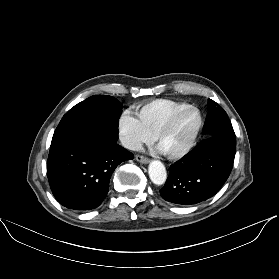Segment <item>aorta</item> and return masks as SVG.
<instances>
[{
  "label": "aorta",
  "instance_id": "762f6f07",
  "mask_svg": "<svg viewBox=\"0 0 279 279\" xmlns=\"http://www.w3.org/2000/svg\"><path fill=\"white\" fill-rule=\"evenodd\" d=\"M148 173L151 181L156 185H162L167 178V172L162 162L153 160L149 164Z\"/></svg>",
  "mask_w": 279,
  "mask_h": 279
}]
</instances>
